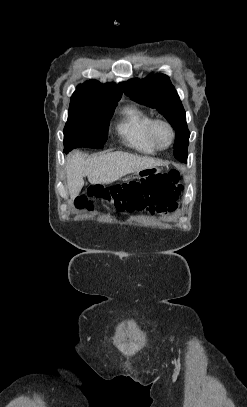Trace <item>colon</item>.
Returning a JSON list of instances; mask_svg holds the SVG:
<instances>
[{"instance_id":"colon-1","label":"colon","mask_w":247,"mask_h":407,"mask_svg":"<svg viewBox=\"0 0 247 407\" xmlns=\"http://www.w3.org/2000/svg\"><path fill=\"white\" fill-rule=\"evenodd\" d=\"M183 186L180 173L172 169L167 173L150 175L140 179L104 188L100 185L91 186L75 200L79 209L94 208V200H102L118 211L134 213L142 210L152 202H176Z\"/></svg>"}]
</instances>
